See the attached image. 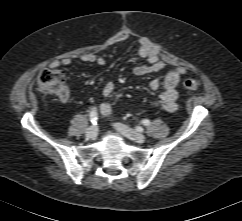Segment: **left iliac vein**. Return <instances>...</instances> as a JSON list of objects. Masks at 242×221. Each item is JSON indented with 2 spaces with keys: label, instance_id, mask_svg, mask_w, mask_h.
Listing matches in <instances>:
<instances>
[{
  "label": "left iliac vein",
  "instance_id": "1",
  "mask_svg": "<svg viewBox=\"0 0 242 221\" xmlns=\"http://www.w3.org/2000/svg\"><path fill=\"white\" fill-rule=\"evenodd\" d=\"M114 127L119 133H121L125 137H127L135 142L144 143L146 141V137L143 134L129 128L128 126H126L124 124L115 123Z\"/></svg>",
  "mask_w": 242,
  "mask_h": 221
}]
</instances>
